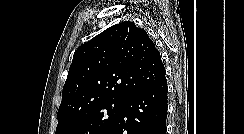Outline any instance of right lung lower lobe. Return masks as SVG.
<instances>
[{
	"label": "right lung lower lobe",
	"mask_w": 244,
	"mask_h": 134,
	"mask_svg": "<svg viewBox=\"0 0 244 134\" xmlns=\"http://www.w3.org/2000/svg\"><path fill=\"white\" fill-rule=\"evenodd\" d=\"M167 94L166 77L132 94L103 134H166Z\"/></svg>",
	"instance_id": "1"
}]
</instances>
